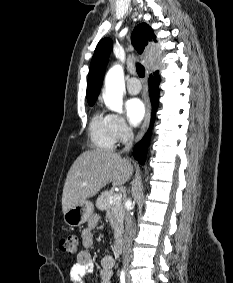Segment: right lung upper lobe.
Here are the masks:
<instances>
[{
	"label": "right lung upper lobe",
	"instance_id": "cb5924a9",
	"mask_svg": "<svg viewBox=\"0 0 233 283\" xmlns=\"http://www.w3.org/2000/svg\"><path fill=\"white\" fill-rule=\"evenodd\" d=\"M132 44L135 49L142 53L146 46L150 45V53L154 54L153 58L157 59L158 55L155 54V49H161V44H153L155 42L160 43L161 39L157 38L152 28L146 24H139L132 33ZM112 48V40L109 38L102 39L94 52L87 84V101L89 105H94L103 82L104 71L108 62L110 51Z\"/></svg>",
	"mask_w": 233,
	"mask_h": 283
}]
</instances>
